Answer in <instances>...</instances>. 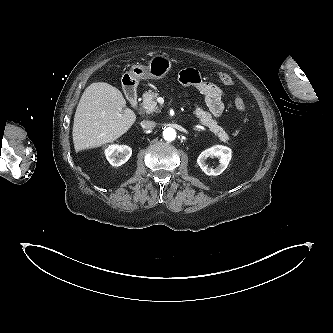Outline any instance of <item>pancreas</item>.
<instances>
[{"label": "pancreas", "mask_w": 333, "mask_h": 333, "mask_svg": "<svg viewBox=\"0 0 333 333\" xmlns=\"http://www.w3.org/2000/svg\"><path fill=\"white\" fill-rule=\"evenodd\" d=\"M158 95V92H153L152 90H149L148 92H145L143 94L142 107L147 114L153 113L158 110L156 102V98L158 97ZM193 113L203 125L209 127L210 131L213 132L220 139V141L228 144V134L223 130L221 126L217 124L215 120L212 119L210 113L204 111L197 105H195Z\"/></svg>", "instance_id": "pancreas-1"}]
</instances>
